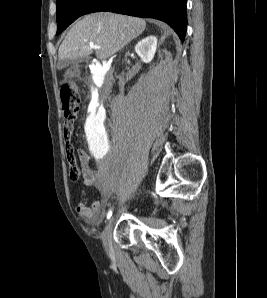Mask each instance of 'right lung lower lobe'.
<instances>
[{"label": "right lung lower lobe", "mask_w": 267, "mask_h": 298, "mask_svg": "<svg viewBox=\"0 0 267 298\" xmlns=\"http://www.w3.org/2000/svg\"><path fill=\"white\" fill-rule=\"evenodd\" d=\"M187 0H101L92 12L111 11L120 14L154 18L166 22L184 41Z\"/></svg>", "instance_id": "1"}]
</instances>
